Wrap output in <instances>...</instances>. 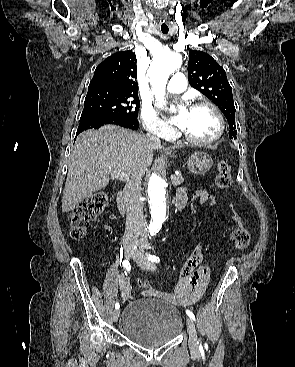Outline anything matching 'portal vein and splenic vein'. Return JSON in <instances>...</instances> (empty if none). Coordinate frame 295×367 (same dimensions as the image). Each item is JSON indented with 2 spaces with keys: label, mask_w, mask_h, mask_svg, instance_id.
Wrapping results in <instances>:
<instances>
[{
  "label": "portal vein and splenic vein",
  "mask_w": 295,
  "mask_h": 367,
  "mask_svg": "<svg viewBox=\"0 0 295 367\" xmlns=\"http://www.w3.org/2000/svg\"><path fill=\"white\" fill-rule=\"evenodd\" d=\"M110 172L112 174H114L116 176V178L120 179V180H124V181H128L129 180V177L127 176V174H125L124 172L122 171H111ZM175 178V175H172L171 176V179Z\"/></svg>",
  "instance_id": "1"
}]
</instances>
